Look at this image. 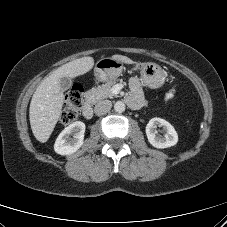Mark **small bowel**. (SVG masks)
<instances>
[{
    "instance_id": "c3829d8e",
    "label": "small bowel",
    "mask_w": 227,
    "mask_h": 227,
    "mask_svg": "<svg viewBox=\"0 0 227 227\" xmlns=\"http://www.w3.org/2000/svg\"><path fill=\"white\" fill-rule=\"evenodd\" d=\"M130 89L131 95L128 98L129 105L133 108H138L142 106L144 104V97L141 82L138 79H132L130 81ZM173 95L174 90H170L165 96L166 101L170 100Z\"/></svg>"
}]
</instances>
